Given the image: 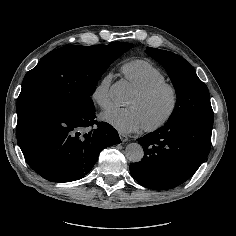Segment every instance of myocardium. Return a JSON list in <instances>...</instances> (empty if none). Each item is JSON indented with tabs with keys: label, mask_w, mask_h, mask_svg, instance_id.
Returning <instances> with one entry per match:
<instances>
[{
	"label": "myocardium",
	"mask_w": 236,
	"mask_h": 236,
	"mask_svg": "<svg viewBox=\"0 0 236 236\" xmlns=\"http://www.w3.org/2000/svg\"><path fill=\"white\" fill-rule=\"evenodd\" d=\"M164 90L169 91V93L171 94L170 109H169L168 113L165 115V117L162 118L160 121H158L152 125L144 126L143 128L146 132L158 131V130L162 129L163 127H165L173 119V117L176 114L178 107H179L180 94H179L177 87L173 83H170L167 81L154 84V85H152L148 88H145V89L136 90V92H135L139 98L149 99Z\"/></svg>",
	"instance_id": "myocardium-1"
}]
</instances>
